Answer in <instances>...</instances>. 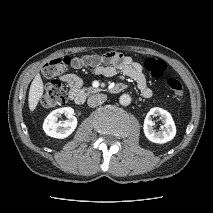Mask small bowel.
Wrapping results in <instances>:
<instances>
[{"mask_svg":"<svg viewBox=\"0 0 213 213\" xmlns=\"http://www.w3.org/2000/svg\"><path fill=\"white\" fill-rule=\"evenodd\" d=\"M70 65L74 69L90 67L96 75L105 77H113L118 73H122L136 82L144 98L152 96V90L147 84L141 64L129 56L118 52H108L103 55L88 54L72 58ZM61 80L68 86L71 99H74V96L80 91L84 83L83 79L74 73L63 74Z\"/></svg>","mask_w":213,"mask_h":213,"instance_id":"small-bowel-1","label":"small bowel"}]
</instances>
